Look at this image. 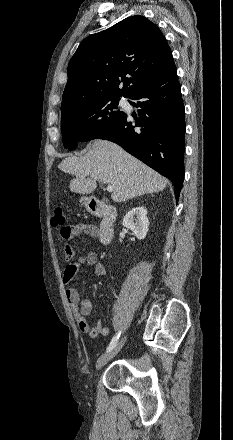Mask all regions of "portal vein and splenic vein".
<instances>
[{
	"mask_svg": "<svg viewBox=\"0 0 233 440\" xmlns=\"http://www.w3.org/2000/svg\"><path fill=\"white\" fill-rule=\"evenodd\" d=\"M114 190V186H112V185H108V187H107V191L108 192H112Z\"/></svg>",
	"mask_w": 233,
	"mask_h": 440,
	"instance_id": "1",
	"label": "portal vein and splenic vein"
}]
</instances>
